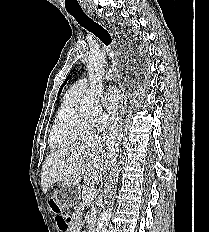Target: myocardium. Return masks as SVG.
<instances>
[{
    "label": "myocardium",
    "instance_id": "1",
    "mask_svg": "<svg viewBox=\"0 0 209 232\" xmlns=\"http://www.w3.org/2000/svg\"><path fill=\"white\" fill-rule=\"evenodd\" d=\"M80 124L85 129H92L93 128V120L85 115L82 116Z\"/></svg>",
    "mask_w": 209,
    "mask_h": 232
}]
</instances>
